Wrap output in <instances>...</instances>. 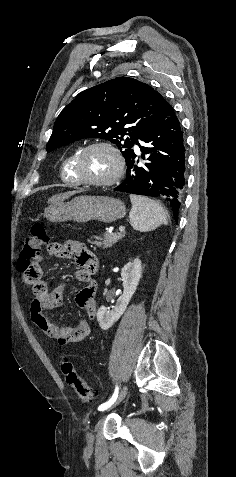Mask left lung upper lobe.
<instances>
[{"mask_svg":"<svg viewBox=\"0 0 236 477\" xmlns=\"http://www.w3.org/2000/svg\"><path fill=\"white\" fill-rule=\"evenodd\" d=\"M162 96L149 85L118 77L77 95L59 114L47 151L83 138L114 143L126 163L159 114ZM127 136V137H126Z\"/></svg>","mask_w":236,"mask_h":477,"instance_id":"1","label":"left lung upper lobe"}]
</instances>
